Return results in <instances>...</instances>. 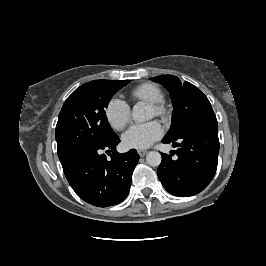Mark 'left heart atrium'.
Wrapping results in <instances>:
<instances>
[{"label":"left heart atrium","instance_id":"39dd6f15","mask_svg":"<svg viewBox=\"0 0 266 266\" xmlns=\"http://www.w3.org/2000/svg\"><path fill=\"white\" fill-rule=\"evenodd\" d=\"M163 128L156 120L134 124L123 135L122 142L126 148L145 149L163 136Z\"/></svg>","mask_w":266,"mask_h":266}]
</instances>
